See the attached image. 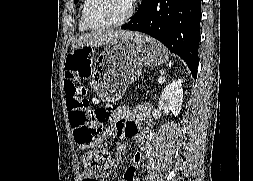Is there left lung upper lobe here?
Here are the masks:
<instances>
[{
	"label": "left lung upper lobe",
	"instance_id": "left-lung-upper-lobe-1",
	"mask_svg": "<svg viewBox=\"0 0 253 181\" xmlns=\"http://www.w3.org/2000/svg\"><path fill=\"white\" fill-rule=\"evenodd\" d=\"M79 0H75V3H77Z\"/></svg>",
	"mask_w": 253,
	"mask_h": 181
}]
</instances>
